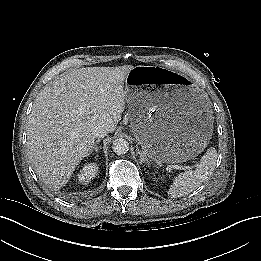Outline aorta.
<instances>
[{
    "instance_id": "aorta-1",
    "label": "aorta",
    "mask_w": 261,
    "mask_h": 261,
    "mask_svg": "<svg viewBox=\"0 0 261 261\" xmlns=\"http://www.w3.org/2000/svg\"><path fill=\"white\" fill-rule=\"evenodd\" d=\"M112 149L117 155L126 154L129 150V143L123 138H117L113 141Z\"/></svg>"
}]
</instances>
